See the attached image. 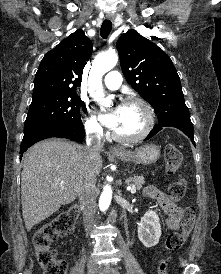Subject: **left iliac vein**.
I'll list each match as a JSON object with an SVG mask.
<instances>
[{
  "label": "left iliac vein",
  "instance_id": "4c4485c4",
  "mask_svg": "<svg viewBox=\"0 0 221 274\" xmlns=\"http://www.w3.org/2000/svg\"><path fill=\"white\" fill-rule=\"evenodd\" d=\"M100 274H120L116 269L113 268H104Z\"/></svg>",
  "mask_w": 221,
  "mask_h": 274
}]
</instances>
